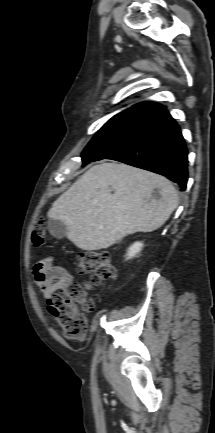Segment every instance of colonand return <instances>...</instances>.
<instances>
[{"label": "colon", "instance_id": "obj_1", "mask_svg": "<svg viewBox=\"0 0 215 433\" xmlns=\"http://www.w3.org/2000/svg\"><path fill=\"white\" fill-rule=\"evenodd\" d=\"M46 242V223L39 218L33 227L32 243L42 247ZM78 271L90 277V284L100 286L116 276L110 252L88 251L78 260ZM48 309L56 319L64 335L74 340H84L88 331V314L94 309V301L81 284H72L67 289L53 294L48 300Z\"/></svg>", "mask_w": 215, "mask_h": 433}]
</instances>
